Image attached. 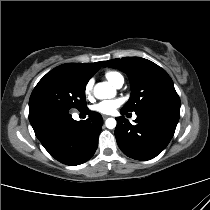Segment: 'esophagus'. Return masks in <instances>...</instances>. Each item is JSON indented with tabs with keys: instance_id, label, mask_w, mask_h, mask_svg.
I'll return each mask as SVG.
<instances>
[{
	"instance_id": "34e87169",
	"label": "esophagus",
	"mask_w": 210,
	"mask_h": 210,
	"mask_svg": "<svg viewBox=\"0 0 210 210\" xmlns=\"http://www.w3.org/2000/svg\"><path fill=\"white\" fill-rule=\"evenodd\" d=\"M108 117H109V116H107V115H102V118H103L104 120H106Z\"/></svg>"
}]
</instances>
